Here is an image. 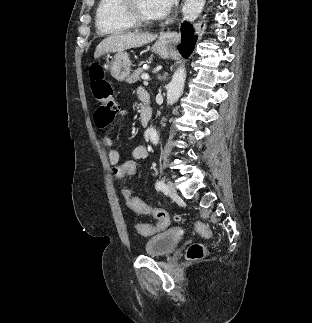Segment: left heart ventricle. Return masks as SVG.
Instances as JSON below:
<instances>
[{
	"instance_id": "obj_1",
	"label": "left heart ventricle",
	"mask_w": 312,
	"mask_h": 323,
	"mask_svg": "<svg viewBox=\"0 0 312 323\" xmlns=\"http://www.w3.org/2000/svg\"><path fill=\"white\" fill-rule=\"evenodd\" d=\"M136 14H143L144 18H151L153 7H149L148 2H141L140 7H136Z\"/></svg>"
}]
</instances>
